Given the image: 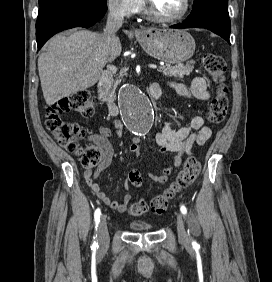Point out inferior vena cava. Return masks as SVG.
<instances>
[{
    "label": "inferior vena cava",
    "mask_w": 272,
    "mask_h": 282,
    "mask_svg": "<svg viewBox=\"0 0 272 282\" xmlns=\"http://www.w3.org/2000/svg\"><path fill=\"white\" fill-rule=\"evenodd\" d=\"M123 23V14L117 3L109 4V13L104 34L110 43L116 37V32L121 28Z\"/></svg>",
    "instance_id": "obj_1"
}]
</instances>
